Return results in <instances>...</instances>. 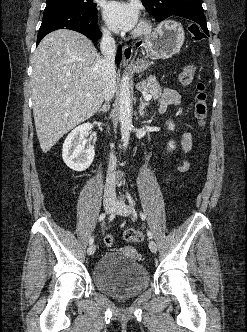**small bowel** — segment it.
Masks as SVG:
<instances>
[{"label":"small bowel","instance_id":"1","mask_svg":"<svg viewBox=\"0 0 247 332\" xmlns=\"http://www.w3.org/2000/svg\"><path fill=\"white\" fill-rule=\"evenodd\" d=\"M178 105L179 104V97L178 94L174 90H165L162 98L159 103V112H164L167 105ZM182 150L184 152H188L191 149L192 145V136L189 132H185L182 136L181 140ZM188 167L187 162L183 161L179 166V171H184Z\"/></svg>","mask_w":247,"mask_h":332}]
</instances>
